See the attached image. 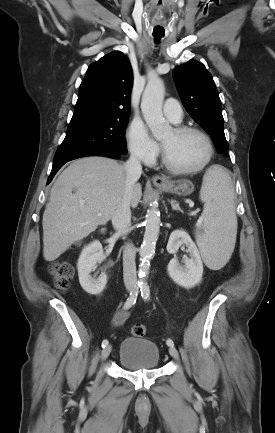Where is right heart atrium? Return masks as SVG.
<instances>
[{
	"label": "right heart atrium",
	"mask_w": 275,
	"mask_h": 433,
	"mask_svg": "<svg viewBox=\"0 0 275 433\" xmlns=\"http://www.w3.org/2000/svg\"><path fill=\"white\" fill-rule=\"evenodd\" d=\"M127 142L131 155L145 164L153 163L159 154L157 142L150 136L141 120H134L129 125Z\"/></svg>",
	"instance_id": "1"
}]
</instances>
